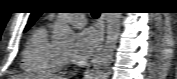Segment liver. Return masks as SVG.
I'll return each mask as SVG.
<instances>
[{
	"instance_id": "6515ba94",
	"label": "liver",
	"mask_w": 177,
	"mask_h": 79,
	"mask_svg": "<svg viewBox=\"0 0 177 79\" xmlns=\"http://www.w3.org/2000/svg\"><path fill=\"white\" fill-rule=\"evenodd\" d=\"M62 79L58 76H30V75H18V76H13L12 79Z\"/></svg>"
}]
</instances>
